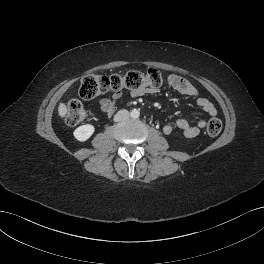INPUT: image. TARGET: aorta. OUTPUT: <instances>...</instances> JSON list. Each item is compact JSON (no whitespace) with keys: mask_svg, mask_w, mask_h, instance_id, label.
<instances>
[{"mask_svg":"<svg viewBox=\"0 0 264 264\" xmlns=\"http://www.w3.org/2000/svg\"><path fill=\"white\" fill-rule=\"evenodd\" d=\"M130 116L134 119H137L140 116V112L137 109H133L130 111Z\"/></svg>","mask_w":264,"mask_h":264,"instance_id":"aorta-1","label":"aorta"}]
</instances>
